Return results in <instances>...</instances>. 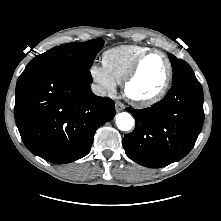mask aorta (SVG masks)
<instances>
[{"instance_id":"obj_1","label":"aorta","mask_w":221,"mask_h":221,"mask_svg":"<svg viewBox=\"0 0 221 221\" xmlns=\"http://www.w3.org/2000/svg\"><path fill=\"white\" fill-rule=\"evenodd\" d=\"M115 121L118 129L121 131H129L134 125L133 117L127 112L118 113L115 116Z\"/></svg>"}]
</instances>
